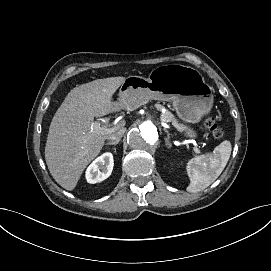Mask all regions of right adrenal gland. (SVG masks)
I'll list each match as a JSON object with an SVG mask.
<instances>
[{
  "instance_id": "obj_1",
  "label": "right adrenal gland",
  "mask_w": 271,
  "mask_h": 271,
  "mask_svg": "<svg viewBox=\"0 0 271 271\" xmlns=\"http://www.w3.org/2000/svg\"><path fill=\"white\" fill-rule=\"evenodd\" d=\"M117 144H118V142H116V141H110V142L106 143L105 146H107V145H114V146H116Z\"/></svg>"
}]
</instances>
